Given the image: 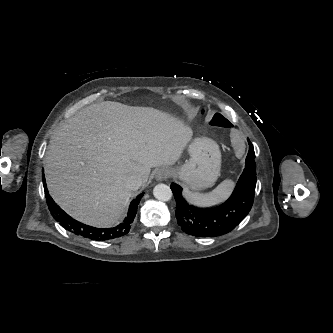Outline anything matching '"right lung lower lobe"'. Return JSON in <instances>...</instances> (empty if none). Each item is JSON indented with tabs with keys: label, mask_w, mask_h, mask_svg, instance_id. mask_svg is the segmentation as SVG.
<instances>
[{
	"label": "right lung lower lobe",
	"mask_w": 333,
	"mask_h": 333,
	"mask_svg": "<svg viewBox=\"0 0 333 333\" xmlns=\"http://www.w3.org/2000/svg\"><path fill=\"white\" fill-rule=\"evenodd\" d=\"M43 181H44L46 201H47L49 210H50L52 216L54 217V219L57 222H59L60 225L63 226L66 230H68L76 235H80V236H83V237H86V238H89L92 240H97V241L110 240V239H114V238H118V237L126 235L132 226V222L134 221L140 199L144 195V193L139 194L136 197V199H134L131 202L127 217L125 218L123 223H121L118 226L113 227V228H95V227L80 223V222L74 220L73 218H71L69 215H67L53 201V199L49 195V192L46 188L44 176H43Z\"/></svg>",
	"instance_id": "obj_1"
}]
</instances>
